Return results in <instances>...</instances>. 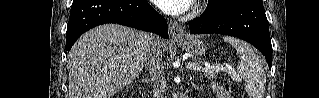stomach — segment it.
Listing matches in <instances>:
<instances>
[{"instance_id":"0dacf381","label":"stomach","mask_w":319,"mask_h":98,"mask_svg":"<svg viewBox=\"0 0 319 98\" xmlns=\"http://www.w3.org/2000/svg\"><path fill=\"white\" fill-rule=\"evenodd\" d=\"M178 45L187 53L202 56L205 54L207 46L197 36H185L178 40Z\"/></svg>"}]
</instances>
